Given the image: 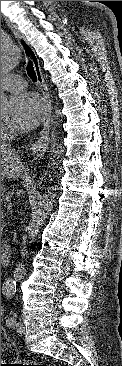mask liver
<instances>
[{
  "mask_svg": "<svg viewBox=\"0 0 122 366\" xmlns=\"http://www.w3.org/2000/svg\"><path fill=\"white\" fill-rule=\"evenodd\" d=\"M26 174V168L15 152L1 144V180L25 178Z\"/></svg>",
  "mask_w": 122,
  "mask_h": 366,
  "instance_id": "1",
  "label": "liver"
}]
</instances>
